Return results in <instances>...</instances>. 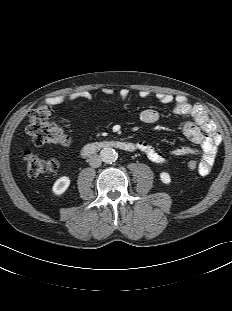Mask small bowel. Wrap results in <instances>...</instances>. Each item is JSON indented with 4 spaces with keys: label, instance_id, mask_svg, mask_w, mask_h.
Returning a JSON list of instances; mask_svg holds the SVG:
<instances>
[{
    "label": "small bowel",
    "instance_id": "c3829d8e",
    "mask_svg": "<svg viewBox=\"0 0 232 311\" xmlns=\"http://www.w3.org/2000/svg\"><path fill=\"white\" fill-rule=\"evenodd\" d=\"M104 95H111V88H103ZM130 91L127 88H122L118 92V97L121 101H126L129 98ZM138 96L141 99H148L151 96L149 90H139ZM157 100L164 104L172 105V112L178 116H189L191 120L184 122L183 133L194 144L200 146L202 159L199 167L201 174H207L213 165L217 147L221 142V133L217 125L209 118L205 109L200 105H193L183 96H174L165 92H157L155 94ZM93 95L88 90H80L61 95H54L46 99V103L56 105L74 100H92ZM160 114L155 109H144L140 113V120L143 123L151 124L156 122ZM83 122V119L79 118ZM138 149L143 152L147 158L156 165L166 163V158L159 154L153 146L146 141L137 143ZM198 153V150L189 145H181L171 151L173 157H189Z\"/></svg>",
    "mask_w": 232,
    "mask_h": 311
}]
</instances>
